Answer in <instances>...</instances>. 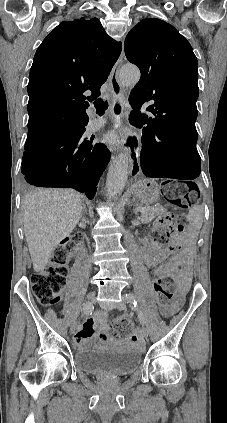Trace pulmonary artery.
Segmentation results:
<instances>
[{
	"label": "pulmonary artery",
	"instance_id": "obj_1",
	"mask_svg": "<svg viewBox=\"0 0 227 423\" xmlns=\"http://www.w3.org/2000/svg\"><path fill=\"white\" fill-rule=\"evenodd\" d=\"M106 123V119L101 117V118H95L90 120V128L95 130V129H99L101 127H103Z\"/></svg>",
	"mask_w": 227,
	"mask_h": 423
}]
</instances>
